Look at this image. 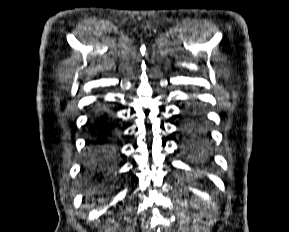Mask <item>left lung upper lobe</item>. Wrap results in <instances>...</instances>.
Wrapping results in <instances>:
<instances>
[{
  "label": "left lung upper lobe",
  "instance_id": "1",
  "mask_svg": "<svg viewBox=\"0 0 289 232\" xmlns=\"http://www.w3.org/2000/svg\"><path fill=\"white\" fill-rule=\"evenodd\" d=\"M183 130L191 149L199 152L206 150L205 139L208 135V129L203 124L187 120L184 123Z\"/></svg>",
  "mask_w": 289,
  "mask_h": 232
}]
</instances>
